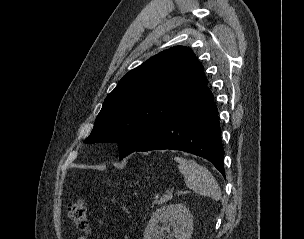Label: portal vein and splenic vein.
<instances>
[{
	"label": "portal vein and splenic vein",
	"instance_id": "obj_1",
	"mask_svg": "<svg viewBox=\"0 0 304 239\" xmlns=\"http://www.w3.org/2000/svg\"><path fill=\"white\" fill-rule=\"evenodd\" d=\"M183 193H184V190H179V191L177 192L178 195L183 194Z\"/></svg>",
	"mask_w": 304,
	"mask_h": 239
}]
</instances>
